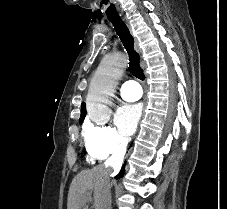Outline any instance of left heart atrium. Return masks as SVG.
Instances as JSON below:
<instances>
[{"mask_svg":"<svg viewBox=\"0 0 227 209\" xmlns=\"http://www.w3.org/2000/svg\"><path fill=\"white\" fill-rule=\"evenodd\" d=\"M143 110L142 103H123L117 109L115 121L122 134L126 136L132 135L141 118Z\"/></svg>","mask_w":227,"mask_h":209,"instance_id":"39dd6f15","label":"left heart atrium"}]
</instances>
